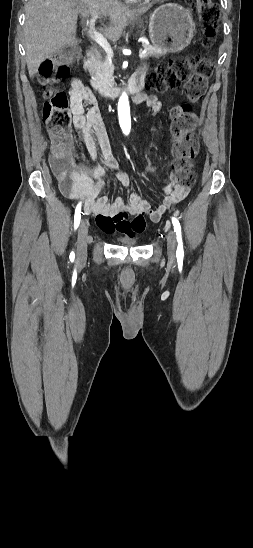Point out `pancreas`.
<instances>
[{"label":"pancreas","instance_id":"1","mask_svg":"<svg viewBox=\"0 0 253 548\" xmlns=\"http://www.w3.org/2000/svg\"><path fill=\"white\" fill-rule=\"evenodd\" d=\"M144 48L146 53L145 57L142 59L160 57L165 54V51L157 46L144 45ZM84 69L90 73L92 78L91 85L96 90L106 89L113 82L114 66L112 60L107 56L87 61L84 65Z\"/></svg>","mask_w":253,"mask_h":548}]
</instances>
